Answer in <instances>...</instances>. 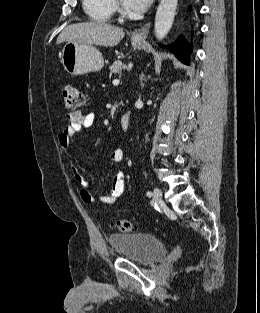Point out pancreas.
Masks as SVG:
<instances>
[{
    "label": "pancreas",
    "instance_id": "cf45deb5",
    "mask_svg": "<svg viewBox=\"0 0 260 313\" xmlns=\"http://www.w3.org/2000/svg\"><path fill=\"white\" fill-rule=\"evenodd\" d=\"M126 68V65L122 63L121 61H115L110 67V76L113 74H119L122 70Z\"/></svg>",
    "mask_w": 260,
    "mask_h": 313
}]
</instances>
